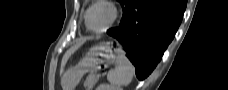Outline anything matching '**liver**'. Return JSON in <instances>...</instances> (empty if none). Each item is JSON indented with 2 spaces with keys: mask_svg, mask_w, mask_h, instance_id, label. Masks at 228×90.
I'll return each instance as SVG.
<instances>
[{
  "mask_svg": "<svg viewBox=\"0 0 228 90\" xmlns=\"http://www.w3.org/2000/svg\"><path fill=\"white\" fill-rule=\"evenodd\" d=\"M85 41H86L85 39H82V40L77 41L76 44H74L71 48H69V49L65 52V54H64V56H63V58H62V61H61L60 74L63 73L64 67H65V65H66V63H67V61H68V59L70 58V56H71L75 51H77V50L84 44ZM62 86H63L64 88H67V87L65 86V84H64V81H62Z\"/></svg>",
  "mask_w": 228,
  "mask_h": 90,
  "instance_id": "6515ba94",
  "label": "liver"
}]
</instances>
